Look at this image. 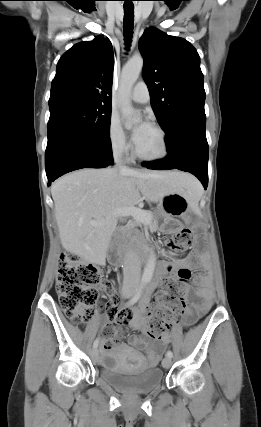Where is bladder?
<instances>
[{
  "instance_id": "31cf9c89",
  "label": "bladder",
  "mask_w": 261,
  "mask_h": 427,
  "mask_svg": "<svg viewBox=\"0 0 261 427\" xmlns=\"http://www.w3.org/2000/svg\"><path fill=\"white\" fill-rule=\"evenodd\" d=\"M99 374L114 388L134 394L148 393L161 385L164 380V374L160 368L136 371L121 364L114 354L104 358Z\"/></svg>"
}]
</instances>
